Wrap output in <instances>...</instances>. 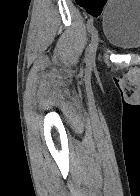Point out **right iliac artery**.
I'll use <instances>...</instances> for the list:
<instances>
[{"label": "right iliac artery", "instance_id": "right-iliac-artery-1", "mask_svg": "<svg viewBox=\"0 0 140 196\" xmlns=\"http://www.w3.org/2000/svg\"><path fill=\"white\" fill-rule=\"evenodd\" d=\"M87 28H88V31L91 32L92 29H93V20L92 19H89L88 22H87ZM89 50V48H88Z\"/></svg>", "mask_w": 140, "mask_h": 196}]
</instances>
